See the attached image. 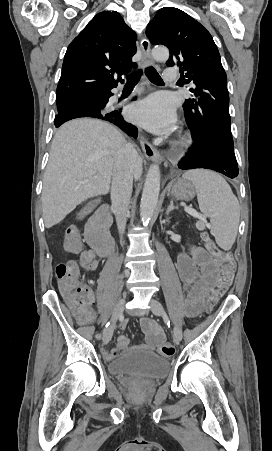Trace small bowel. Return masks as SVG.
<instances>
[{
	"label": "small bowel",
	"mask_w": 272,
	"mask_h": 451,
	"mask_svg": "<svg viewBox=\"0 0 272 451\" xmlns=\"http://www.w3.org/2000/svg\"><path fill=\"white\" fill-rule=\"evenodd\" d=\"M215 257L207 249L190 246L188 251H182L176 259V270L184 288L183 308L190 316H195L201 308V300L207 291L206 272L208 267L214 262ZM88 261L90 268L84 270L86 273L95 271L100 263V255L91 247L82 244L78 263ZM142 328L146 332V342L136 347H130L129 338L126 335H120L117 339V345L114 349L106 350L104 357L106 360H112L120 353L127 350H153L163 343L164 334L162 330L151 320L143 319Z\"/></svg>",
	"instance_id": "c3829d8e"
}]
</instances>
